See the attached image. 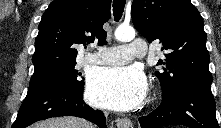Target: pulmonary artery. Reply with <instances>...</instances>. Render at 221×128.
Here are the masks:
<instances>
[{
    "label": "pulmonary artery",
    "instance_id": "pulmonary-artery-1",
    "mask_svg": "<svg viewBox=\"0 0 221 128\" xmlns=\"http://www.w3.org/2000/svg\"><path fill=\"white\" fill-rule=\"evenodd\" d=\"M147 43L140 39L120 46L99 47L95 53L86 56L85 62L93 65H113L127 63L147 53Z\"/></svg>",
    "mask_w": 221,
    "mask_h": 128
}]
</instances>
